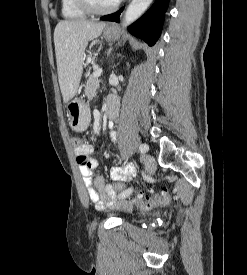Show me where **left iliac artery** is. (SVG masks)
<instances>
[{
	"mask_svg": "<svg viewBox=\"0 0 247 275\" xmlns=\"http://www.w3.org/2000/svg\"><path fill=\"white\" fill-rule=\"evenodd\" d=\"M149 147L147 144H141L139 147V150L141 153H145L146 151H148ZM131 189L126 190L125 192H123L122 194L119 195V198H125L126 197V193L127 191H129Z\"/></svg>",
	"mask_w": 247,
	"mask_h": 275,
	"instance_id": "left-iliac-artery-1",
	"label": "left iliac artery"
}]
</instances>
